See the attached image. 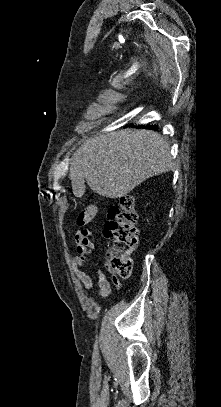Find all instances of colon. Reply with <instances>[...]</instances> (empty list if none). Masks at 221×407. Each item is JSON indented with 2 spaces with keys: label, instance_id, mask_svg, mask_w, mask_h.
<instances>
[{
  "label": "colon",
  "instance_id": "5ec220e1",
  "mask_svg": "<svg viewBox=\"0 0 221 407\" xmlns=\"http://www.w3.org/2000/svg\"><path fill=\"white\" fill-rule=\"evenodd\" d=\"M95 215L94 204L88 205L79 213L78 224L88 227L77 231L76 239L90 237V225ZM137 220L134 199L131 196H123L117 205L111 207L109 220L105 223L104 234L113 242L107 254V265L121 278L131 274L132 255L137 247Z\"/></svg>",
  "mask_w": 221,
  "mask_h": 407
}]
</instances>
